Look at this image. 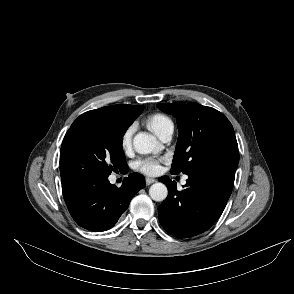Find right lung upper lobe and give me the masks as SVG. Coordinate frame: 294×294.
Wrapping results in <instances>:
<instances>
[{"instance_id": "cb5924a9", "label": "right lung upper lobe", "mask_w": 294, "mask_h": 294, "mask_svg": "<svg viewBox=\"0 0 294 294\" xmlns=\"http://www.w3.org/2000/svg\"><path fill=\"white\" fill-rule=\"evenodd\" d=\"M141 105L118 104L114 106H106L100 109L88 111L77 119L86 118L89 116H102L112 119L123 125H131L133 121L142 113Z\"/></svg>"}]
</instances>
